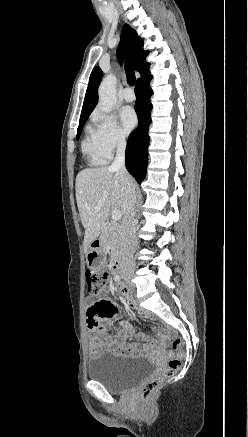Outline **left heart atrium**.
Wrapping results in <instances>:
<instances>
[{
	"mask_svg": "<svg viewBox=\"0 0 248 437\" xmlns=\"http://www.w3.org/2000/svg\"><path fill=\"white\" fill-rule=\"evenodd\" d=\"M120 120L124 133L128 134L136 125L137 117L130 107H125L120 112Z\"/></svg>",
	"mask_w": 248,
	"mask_h": 437,
	"instance_id": "left-heart-atrium-1",
	"label": "left heart atrium"
}]
</instances>
